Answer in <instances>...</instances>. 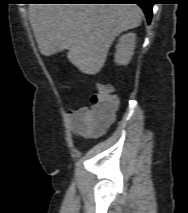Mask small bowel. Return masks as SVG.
I'll list each match as a JSON object with an SVG mask.
<instances>
[{
    "instance_id": "small-bowel-1",
    "label": "small bowel",
    "mask_w": 188,
    "mask_h": 213,
    "mask_svg": "<svg viewBox=\"0 0 188 213\" xmlns=\"http://www.w3.org/2000/svg\"><path fill=\"white\" fill-rule=\"evenodd\" d=\"M89 113L90 108L88 107H82L69 112L72 128L76 133L79 134L101 135L108 128L112 119L99 127H95L92 123Z\"/></svg>"
}]
</instances>
